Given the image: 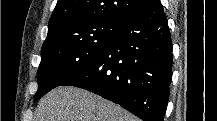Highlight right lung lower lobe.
Segmentation results:
<instances>
[{
	"instance_id": "obj_1",
	"label": "right lung lower lobe",
	"mask_w": 217,
	"mask_h": 121,
	"mask_svg": "<svg viewBox=\"0 0 217 121\" xmlns=\"http://www.w3.org/2000/svg\"><path fill=\"white\" fill-rule=\"evenodd\" d=\"M172 80V40L160 0L127 18L98 58L61 86L86 89L144 121H163Z\"/></svg>"
}]
</instances>
